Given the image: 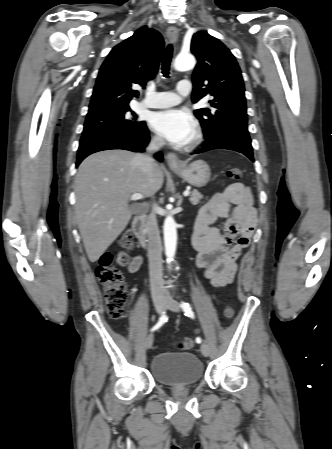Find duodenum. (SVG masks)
I'll return each mask as SVG.
<instances>
[{
  "instance_id": "1",
  "label": "duodenum",
  "mask_w": 332,
  "mask_h": 449,
  "mask_svg": "<svg viewBox=\"0 0 332 449\" xmlns=\"http://www.w3.org/2000/svg\"><path fill=\"white\" fill-rule=\"evenodd\" d=\"M145 222H146V214H140L137 215L133 222H132V226H131V230L133 232V234L137 237V239L139 240V242L141 243V245L143 247L147 246V233L145 230Z\"/></svg>"
}]
</instances>
